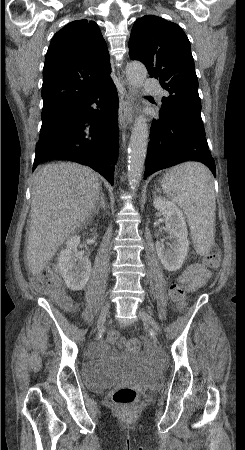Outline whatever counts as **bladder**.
Segmentation results:
<instances>
[{"mask_svg":"<svg viewBox=\"0 0 245 450\" xmlns=\"http://www.w3.org/2000/svg\"><path fill=\"white\" fill-rule=\"evenodd\" d=\"M81 376L85 386L99 394L124 384L154 386L158 379L157 373L134 355L88 360L81 365Z\"/></svg>","mask_w":245,"mask_h":450,"instance_id":"1","label":"bladder"}]
</instances>
